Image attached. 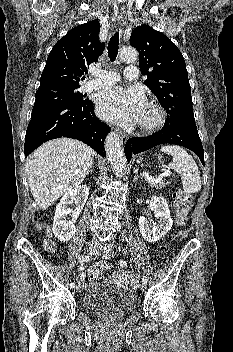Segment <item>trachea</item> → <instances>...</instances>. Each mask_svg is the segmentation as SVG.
Wrapping results in <instances>:
<instances>
[{
  "mask_svg": "<svg viewBox=\"0 0 233 352\" xmlns=\"http://www.w3.org/2000/svg\"><path fill=\"white\" fill-rule=\"evenodd\" d=\"M119 49V32H116L108 43V56L110 61H115Z\"/></svg>",
  "mask_w": 233,
  "mask_h": 352,
  "instance_id": "obj_1",
  "label": "trachea"
}]
</instances>
